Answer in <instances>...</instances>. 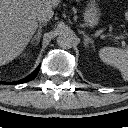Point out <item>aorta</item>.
<instances>
[{"instance_id":"obj_1","label":"aorta","mask_w":128,"mask_h":128,"mask_svg":"<svg viewBox=\"0 0 128 128\" xmlns=\"http://www.w3.org/2000/svg\"><path fill=\"white\" fill-rule=\"evenodd\" d=\"M74 42V36L69 31H63L57 38V43L62 49H69Z\"/></svg>"}]
</instances>
